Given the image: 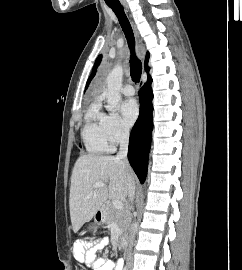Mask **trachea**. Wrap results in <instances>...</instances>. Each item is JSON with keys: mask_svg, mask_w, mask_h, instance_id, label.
<instances>
[{"mask_svg": "<svg viewBox=\"0 0 242 270\" xmlns=\"http://www.w3.org/2000/svg\"><path fill=\"white\" fill-rule=\"evenodd\" d=\"M116 16L119 19L120 25L123 29V32L126 36L129 48L131 50V57H130V72H131V77L134 82H139L141 73H142V63L141 61L135 56V39H134V34L131 28V25L124 13L123 7L121 5H110L109 6Z\"/></svg>", "mask_w": 242, "mask_h": 270, "instance_id": "3493384b", "label": "trachea"}]
</instances>
